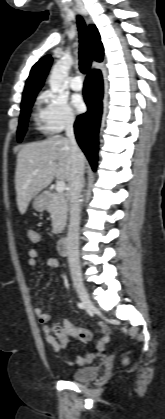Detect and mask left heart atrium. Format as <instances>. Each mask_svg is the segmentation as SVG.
Instances as JSON below:
<instances>
[{
    "label": "left heart atrium",
    "mask_w": 165,
    "mask_h": 419,
    "mask_svg": "<svg viewBox=\"0 0 165 419\" xmlns=\"http://www.w3.org/2000/svg\"><path fill=\"white\" fill-rule=\"evenodd\" d=\"M72 103L78 112L84 111L85 103L80 95H75L72 99Z\"/></svg>",
    "instance_id": "1"
}]
</instances>
